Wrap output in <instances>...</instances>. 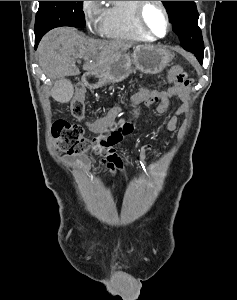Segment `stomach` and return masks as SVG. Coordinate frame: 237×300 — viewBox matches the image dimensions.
Wrapping results in <instances>:
<instances>
[{
	"mask_svg": "<svg viewBox=\"0 0 237 300\" xmlns=\"http://www.w3.org/2000/svg\"><path fill=\"white\" fill-rule=\"evenodd\" d=\"M173 57L175 55L163 47L138 45L130 55L120 53L111 65L98 69L96 79L100 87L105 83H121L130 75L132 65L145 75H157L167 67Z\"/></svg>",
	"mask_w": 237,
	"mask_h": 300,
	"instance_id": "1",
	"label": "stomach"
}]
</instances>
